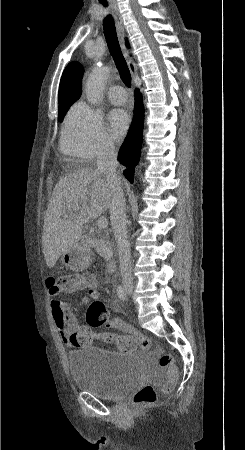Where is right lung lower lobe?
Here are the masks:
<instances>
[{
    "mask_svg": "<svg viewBox=\"0 0 245 450\" xmlns=\"http://www.w3.org/2000/svg\"><path fill=\"white\" fill-rule=\"evenodd\" d=\"M143 121V100L139 90H136L135 119L129 134L119 150V161L127 167L123 174L131 183H133L134 166L138 164L140 157Z\"/></svg>",
    "mask_w": 245,
    "mask_h": 450,
    "instance_id": "right-lung-lower-lobe-1",
    "label": "right lung lower lobe"
}]
</instances>
